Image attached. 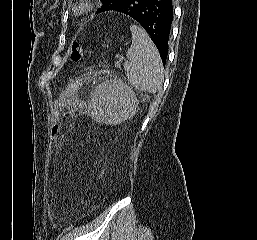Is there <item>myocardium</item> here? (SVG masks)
<instances>
[{
  "instance_id": "f54148a6",
  "label": "myocardium",
  "mask_w": 257,
  "mask_h": 240,
  "mask_svg": "<svg viewBox=\"0 0 257 240\" xmlns=\"http://www.w3.org/2000/svg\"><path fill=\"white\" fill-rule=\"evenodd\" d=\"M91 9V4L87 1H81L73 7V12L77 16L83 15Z\"/></svg>"
}]
</instances>
